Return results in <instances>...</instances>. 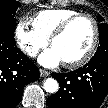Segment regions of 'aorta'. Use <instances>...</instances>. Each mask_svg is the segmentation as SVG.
<instances>
[{"mask_svg":"<svg viewBox=\"0 0 108 108\" xmlns=\"http://www.w3.org/2000/svg\"><path fill=\"white\" fill-rule=\"evenodd\" d=\"M44 89L48 93H55L59 89L58 82L53 78H47L44 81Z\"/></svg>","mask_w":108,"mask_h":108,"instance_id":"aorta-1","label":"aorta"}]
</instances>
